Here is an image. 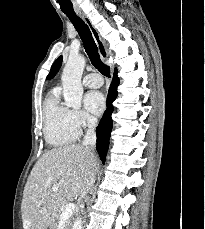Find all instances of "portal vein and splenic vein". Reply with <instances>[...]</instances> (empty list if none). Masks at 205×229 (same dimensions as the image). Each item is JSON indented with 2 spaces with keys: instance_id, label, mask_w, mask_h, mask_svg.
Here are the masks:
<instances>
[{
  "instance_id": "portal-vein-and-splenic-vein-1",
  "label": "portal vein and splenic vein",
  "mask_w": 205,
  "mask_h": 229,
  "mask_svg": "<svg viewBox=\"0 0 205 229\" xmlns=\"http://www.w3.org/2000/svg\"><path fill=\"white\" fill-rule=\"evenodd\" d=\"M54 191L58 189L57 186L52 187ZM75 209V205L72 202H69L66 204L65 209L60 215V223H65L73 214V211Z\"/></svg>"
}]
</instances>
